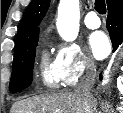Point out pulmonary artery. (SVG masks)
Instances as JSON below:
<instances>
[{"label": "pulmonary artery", "mask_w": 123, "mask_h": 113, "mask_svg": "<svg viewBox=\"0 0 123 113\" xmlns=\"http://www.w3.org/2000/svg\"><path fill=\"white\" fill-rule=\"evenodd\" d=\"M84 23L89 29H97L101 25L100 18L95 11H90L86 14Z\"/></svg>", "instance_id": "1"}]
</instances>
